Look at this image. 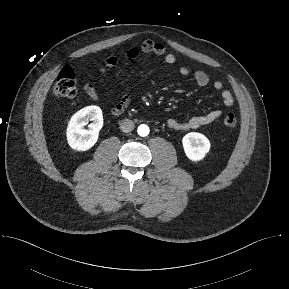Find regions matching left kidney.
I'll list each match as a JSON object with an SVG mask.
<instances>
[{
	"instance_id": "1",
	"label": "left kidney",
	"mask_w": 289,
	"mask_h": 289,
	"mask_svg": "<svg viewBox=\"0 0 289 289\" xmlns=\"http://www.w3.org/2000/svg\"><path fill=\"white\" fill-rule=\"evenodd\" d=\"M186 156L192 161L202 160L209 152L211 144L208 138L197 132H190L182 139Z\"/></svg>"
}]
</instances>
